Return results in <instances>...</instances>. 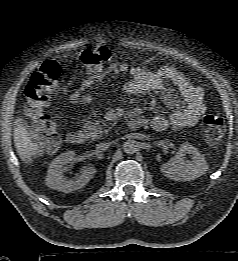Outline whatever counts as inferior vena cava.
<instances>
[{
	"instance_id": "inferior-vena-cava-1",
	"label": "inferior vena cava",
	"mask_w": 238,
	"mask_h": 261,
	"mask_svg": "<svg viewBox=\"0 0 238 261\" xmlns=\"http://www.w3.org/2000/svg\"><path fill=\"white\" fill-rule=\"evenodd\" d=\"M109 146H110L109 142H107V143H99V144L96 145V151L97 152H103L106 149H108Z\"/></svg>"
}]
</instances>
